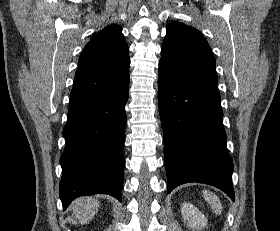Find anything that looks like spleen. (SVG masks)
<instances>
[{
    "instance_id": "obj_1",
    "label": "spleen",
    "mask_w": 280,
    "mask_h": 231,
    "mask_svg": "<svg viewBox=\"0 0 280 231\" xmlns=\"http://www.w3.org/2000/svg\"><path fill=\"white\" fill-rule=\"evenodd\" d=\"M203 195L206 201H208L210 207H212V209H214L216 213H220V211H222V203L219 197L215 195V193H212V191H208V189H205V191H203Z\"/></svg>"
}]
</instances>
